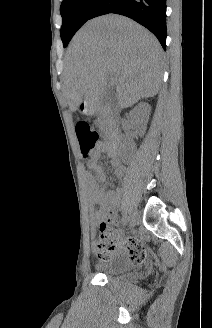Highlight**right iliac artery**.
I'll use <instances>...</instances> for the list:
<instances>
[{
  "label": "right iliac artery",
  "instance_id": "1",
  "mask_svg": "<svg viewBox=\"0 0 212 328\" xmlns=\"http://www.w3.org/2000/svg\"><path fill=\"white\" fill-rule=\"evenodd\" d=\"M128 221H129V216H128L127 213H126V214H124L123 217H122V224H123V225H126V224L128 223Z\"/></svg>",
  "mask_w": 212,
  "mask_h": 328
}]
</instances>
